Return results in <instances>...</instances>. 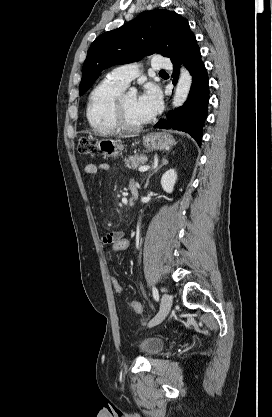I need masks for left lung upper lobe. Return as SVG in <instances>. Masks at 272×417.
Wrapping results in <instances>:
<instances>
[{
    "label": "left lung upper lobe",
    "mask_w": 272,
    "mask_h": 417,
    "mask_svg": "<svg viewBox=\"0 0 272 417\" xmlns=\"http://www.w3.org/2000/svg\"><path fill=\"white\" fill-rule=\"evenodd\" d=\"M196 47V38L185 18L174 11H145L124 26L100 35L91 44L82 68L80 95L112 65L137 61L153 53L170 57L176 63Z\"/></svg>",
    "instance_id": "5c2ea615"
}]
</instances>
